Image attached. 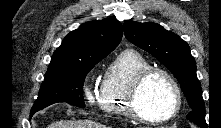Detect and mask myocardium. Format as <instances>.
<instances>
[{"instance_id": "obj_1", "label": "myocardium", "mask_w": 221, "mask_h": 128, "mask_svg": "<svg viewBox=\"0 0 221 128\" xmlns=\"http://www.w3.org/2000/svg\"><path fill=\"white\" fill-rule=\"evenodd\" d=\"M161 74L170 84L173 94V104L171 108L161 117L152 118L144 114L137 105L138 94L143 84L151 76ZM181 92L174 77L166 70L159 67H149L141 71L133 80L128 93V111L131 116L146 123L161 124L173 119L181 109Z\"/></svg>"}]
</instances>
